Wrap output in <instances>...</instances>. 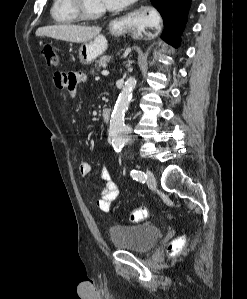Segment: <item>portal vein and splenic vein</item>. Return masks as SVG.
Returning <instances> with one entry per match:
<instances>
[{
  "label": "portal vein and splenic vein",
  "mask_w": 247,
  "mask_h": 299,
  "mask_svg": "<svg viewBox=\"0 0 247 299\" xmlns=\"http://www.w3.org/2000/svg\"><path fill=\"white\" fill-rule=\"evenodd\" d=\"M108 74H109V72L107 70L102 71V75H108Z\"/></svg>",
  "instance_id": "obj_1"
}]
</instances>
